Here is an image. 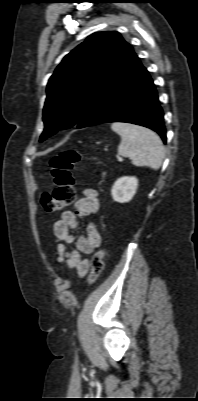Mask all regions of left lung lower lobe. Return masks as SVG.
Returning <instances> with one entry per match:
<instances>
[{
  "instance_id": "obj_1",
  "label": "left lung lower lobe",
  "mask_w": 198,
  "mask_h": 401,
  "mask_svg": "<svg viewBox=\"0 0 198 401\" xmlns=\"http://www.w3.org/2000/svg\"><path fill=\"white\" fill-rule=\"evenodd\" d=\"M127 122L156 131L166 142L163 111L151 77L134 51L108 80L77 122V128Z\"/></svg>"
}]
</instances>
